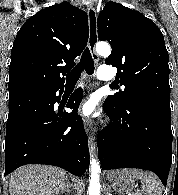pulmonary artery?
Returning <instances> with one entry per match:
<instances>
[{
	"mask_svg": "<svg viewBox=\"0 0 178 195\" xmlns=\"http://www.w3.org/2000/svg\"><path fill=\"white\" fill-rule=\"evenodd\" d=\"M98 78L104 81H110L113 78L110 66L101 65L98 69Z\"/></svg>",
	"mask_w": 178,
	"mask_h": 195,
	"instance_id": "1",
	"label": "pulmonary artery"
}]
</instances>
